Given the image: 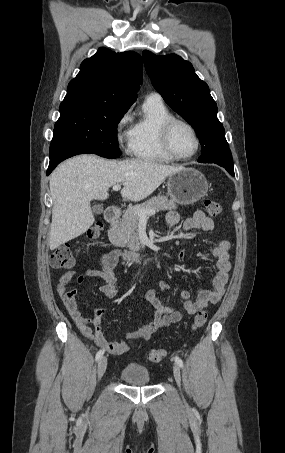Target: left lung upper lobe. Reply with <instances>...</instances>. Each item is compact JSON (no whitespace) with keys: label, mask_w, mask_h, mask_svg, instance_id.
Listing matches in <instances>:
<instances>
[{"label":"left lung upper lobe","mask_w":285,"mask_h":453,"mask_svg":"<svg viewBox=\"0 0 285 453\" xmlns=\"http://www.w3.org/2000/svg\"><path fill=\"white\" fill-rule=\"evenodd\" d=\"M143 61L155 89L194 128L202 147L198 162L233 166L217 105L192 64L175 54L157 56L147 50Z\"/></svg>","instance_id":"left-lung-upper-lobe-1"}]
</instances>
